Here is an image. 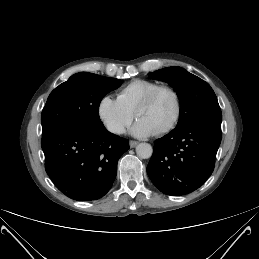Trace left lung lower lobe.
Wrapping results in <instances>:
<instances>
[{
	"label": "left lung lower lobe",
	"mask_w": 259,
	"mask_h": 259,
	"mask_svg": "<svg viewBox=\"0 0 259 259\" xmlns=\"http://www.w3.org/2000/svg\"><path fill=\"white\" fill-rule=\"evenodd\" d=\"M221 142V124L196 122L156 140L147 173L170 196L193 192L211 176Z\"/></svg>",
	"instance_id": "0a47b994"
}]
</instances>
